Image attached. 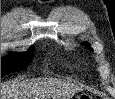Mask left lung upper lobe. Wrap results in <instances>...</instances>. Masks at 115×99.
<instances>
[{"label": "left lung upper lobe", "mask_w": 115, "mask_h": 99, "mask_svg": "<svg viewBox=\"0 0 115 99\" xmlns=\"http://www.w3.org/2000/svg\"><path fill=\"white\" fill-rule=\"evenodd\" d=\"M84 45H86L87 48H89L90 50H92V48L87 43H85Z\"/></svg>", "instance_id": "left-lung-upper-lobe-1"}]
</instances>
